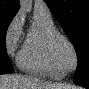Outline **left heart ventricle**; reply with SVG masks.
<instances>
[{
	"label": "left heart ventricle",
	"mask_w": 89,
	"mask_h": 89,
	"mask_svg": "<svg viewBox=\"0 0 89 89\" xmlns=\"http://www.w3.org/2000/svg\"><path fill=\"white\" fill-rule=\"evenodd\" d=\"M59 57L65 68L74 66V55L66 43H60L58 46Z\"/></svg>",
	"instance_id": "obj_1"
}]
</instances>
